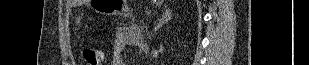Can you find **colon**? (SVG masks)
Listing matches in <instances>:
<instances>
[{"mask_svg": "<svg viewBox=\"0 0 309 65\" xmlns=\"http://www.w3.org/2000/svg\"><path fill=\"white\" fill-rule=\"evenodd\" d=\"M82 55L89 65H103L104 63L102 52L94 46L85 47L82 51Z\"/></svg>", "mask_w": 309, "mask_h": 65, "instance_id": "5ec220e1", "label": "colon"}]
</instances>
